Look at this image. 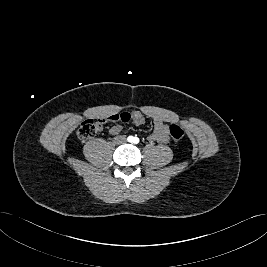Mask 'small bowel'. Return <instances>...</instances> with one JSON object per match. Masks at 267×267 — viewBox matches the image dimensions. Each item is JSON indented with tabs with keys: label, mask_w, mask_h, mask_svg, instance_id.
Masks as SVG:
<instances>
[{
	"label": "small bowel",
	"mask_w": 267,
	"mask_h": 267,
	"mask_svg": "<svg viewBox=\"0 0 267 267\" xmlns=\"http://www.w3.org/2000/svg\"><path fill=\"white\" fill-rule=\"evenodd\" d=\"M128 114V119L126 122H132L136 126L143 125L146 121V115L139 110L132 111ZM113 114L109 115L108 117L112 116ZM107 117V118H108ZM153 119V133L151 135V140L158 142V143H168L169 141V134H168V125L166 124V120L161 116H152ZM122 130V126L119 124L113 125L109 132L112 135L119 134Z\"/></svg>",
	"instance_id": "1"
}]
</instances>
